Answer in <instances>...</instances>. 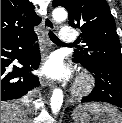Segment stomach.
Masks as SVG:
<instances>
[{
    "label": "stomach",
    "mask_w": 122,
    "mask_h": 123,
    "mask_svg": "<svg viewBox=\"0 0 122 123\" xmlns=\"http://www.w3.org/2000/svg\"><path fill=\"white\" fill-rule=\"evenodd\" d=\"M90 117L87 114H81L74 117L76 123H89Z\"/></svg>",
    "instance_id": "0dacf381"
}]
</instances>
